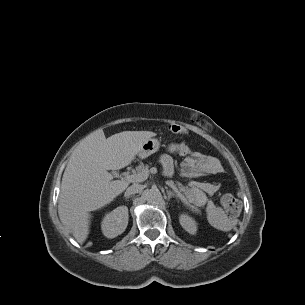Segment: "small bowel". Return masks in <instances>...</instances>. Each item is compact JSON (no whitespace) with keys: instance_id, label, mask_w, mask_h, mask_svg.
Returning a JSON list of instances; mask_svg holds the SVG:
<instances>
[{"instance_id":"small-bowel-1","label":"small bowel","mask_w":305,"mask_h":305,"mask_svg":"<svg viewBox=\"0 0 305 305\" xmlns=\"http://www.w3.org/2000/svg\"><path fill=\"white\" fill-rule=\"evenodd\" d=\"M177 153L182 156L192 155L198 162L200 169L207 173H218L220 171L219 162L210 156H205L197 152H191L188 146L184 143L171 144L168 147L167 153L161 155L159 161L162 165L163 172L166 176H171L174 172V161L172 154Z\"/></svg>"}]
</instances>
